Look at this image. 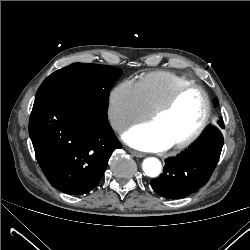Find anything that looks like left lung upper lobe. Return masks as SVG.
Wrapping results in <instances>:
<instances>
[{"label":"left lung upper lobe","mask_w":250,"mask_h":250,"mask_svg":"<svg viewBox=\"0 0 250 250\" xmlns=\"http://www.w3.org/2000/svg\"><path fill=\"white\" fill-rule=\"evenodd\" d=\"M216 104H217V103H216ZM218 124H219L220 127H222V128L224 127V124H223V121H222V120H218Z\"/></svg>","instance_id":"5c2ea615"}]
</instances>
